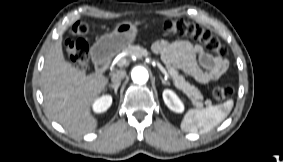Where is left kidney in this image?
<instances>
[{
    "label": "left kidney",
    "instance_id": "left-kidney-1",
    "mask_svg": "<svg viewBox=\"0 0 283 162\" xmlns=\"http://www.w3.org/2000/svg\"><path fill=\"white\" fill-rule=\"evenodd\" d=\"M163 100L170 110L176 113L184 111L183 103L172 90L166 89L163 91Z\"/></svg>",
    "mask_w": 283,
    "mask_h": 162
}]
</instances>
